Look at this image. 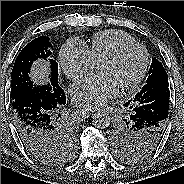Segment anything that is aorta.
Wrapping results in <instances>:
<instances>
[{"instance_id":"aorta-1","label":"aorta","mask_w":184,"mask_h":184,"mask_svg":"<svg viewBox=\"0 0 184 184\" xmlns=\"http://www.w3.org/2000/svg\"><path fill=\"white\" fill-rule=\"evenodd\" d=\"M92 123L96 128L105 129L110 125V116L104 111L97 112L92 116Z\"/></svg>"}]
</instances>
